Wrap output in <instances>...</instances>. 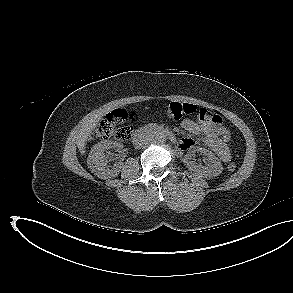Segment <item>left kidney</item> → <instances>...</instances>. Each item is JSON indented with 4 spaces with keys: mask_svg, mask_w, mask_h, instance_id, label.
I'll list each match as a JSON object with an SVG mask.
<instances>
[{
    "mask_svg": "<svg viewBox=\"0 0 293 293\" xmlns=\"http://www.w3.org/2000/svg\"><path fill=\"white\" fill-rule=\"evenodd\" d=\"M196 152L203 153L207 157V165L195 163L193 161ZM184 163L190 171L197 173L200 177L212 178L222 173L223 167L219 159L209 150L202 147H193L184 158Z\"/></svg>",
    "mask_w": 293,
    "mask_h": 293,
    "instance_id": "left-kidney-1",
    "label": "left kidney"
}]
</instances>
